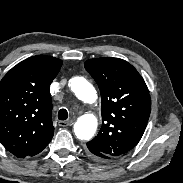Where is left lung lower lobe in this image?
<instances>
[{"mask_svg":"<svg viewBox=\"0 0 183 183\" xmlns=\"http://www.w3.org/2000/svg\"><path fill=\"white\" fill-rule=\"evenodd\" d=\"M87 153L90 155V157H92L93 159L97 160V161H101V162H104V161H108V160H111L113 159V157L111 156H108L106 154H103L101 152H98L94 149H87Z\"/></svg>","mask_w":183,"mask_h":183,"instance_id":"0a47b994","label":"left lung lower lobe"}]
</instances>
